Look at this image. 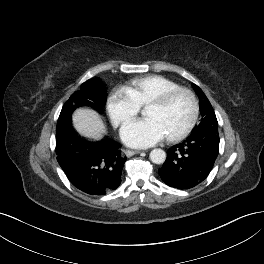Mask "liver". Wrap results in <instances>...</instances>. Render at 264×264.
I'll return each instance as SVG.
<instances>
[{
  "instance_id": "liver-1",
  "label": "liver",
  "mask_w": 264,
  "mask_h": 264,
  "mask_svg": "<svg viewBox=\"0 0 264 264\" xmlns=\"http://www.w3.org/2000/svg\"><path fill=\"white\" fill-rule=\"evenodd\" d=\"M75 129L83 136L100 139L105 132V125L99 114L89 108L77 109L72 117Z\"/></svg>"
}]
</instances>
